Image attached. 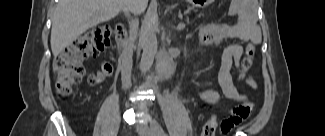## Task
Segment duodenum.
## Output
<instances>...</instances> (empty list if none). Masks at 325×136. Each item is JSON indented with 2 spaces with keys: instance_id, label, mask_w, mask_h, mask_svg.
Returning <instances> with one entry per match:
<instances>
[{
  "instance_id": "410a0bca",
  "label": "duodenum",
  "mask_w": 325,
  "mask_h": 136,
  "mask_svg": "<svg viewBox=\"0 0 325 136\" xmlns=\"http://www.w3.org/2000/svg\"><path fill=\"white\" fill-rule=\"evenodd\" d=\"M116 29H117V35H118L119 48L122 52H125L128 50L126 29L123 25H117Z\"/></svg>"
}]
</instances>
